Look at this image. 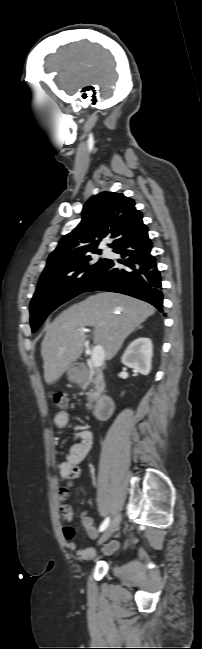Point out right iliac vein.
Here are the masks:
<instances>
[{
	"mask_svg": "<svg viewBox=\"0 0 202 649\" xmlns=\"http://www.w3.org/2000/svg\"><path fill=\"white\" fill-rule=\"evenodd\" d=\"M120 520H121V515L117 514L105 529V532L100 537L98 544H102L103 542L107 541L110 538V536L118 529Z\"/></svg>",
	"mask_w": 202,
	"mask_h": 649,
	"instance_id": "1",
	"label": "right iliac vein"
}]
</instances>
